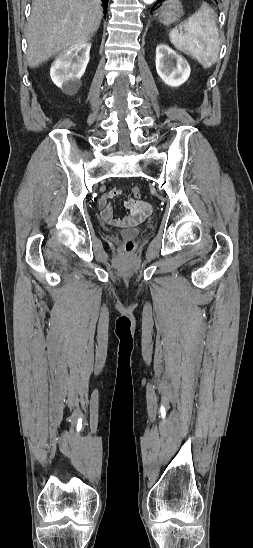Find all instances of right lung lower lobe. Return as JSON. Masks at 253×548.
Listing matches in <instances>:
<instances>
[{"label": "right lung lower lobe", "instance_id": "98d812e1", "mask_svg": "<svg viewBox=\"0 0 253 548\" xmlns=\"http://www.w3.org/2000/svg\"><path fill=\"white\" fill-rule=\"evenodd\" d=\"M102 2L104 3V7H105V9H107V6H108V0H102Z\"/></svg>", "mask_w": 253, "mask_h": 548}]
</instances>
